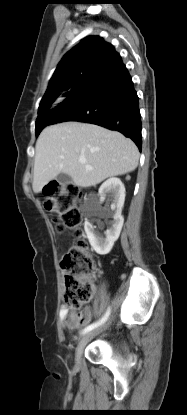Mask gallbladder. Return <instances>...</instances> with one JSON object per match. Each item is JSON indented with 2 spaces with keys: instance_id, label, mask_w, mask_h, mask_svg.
Returning <instances> with one entry per match:
<instances>
[{
  "instance_id": "obj_1",
  "label": "gallbladder",
  "mask_w": 187,
  "mask_h": 415,
  "mask_svg": "<svg viewBox=\"0 0 187 415\" xmlns=\"http://www.w3.org/2000/svg\"><path fill=\"white\" fill-rule=\"evenodd\" d=\"M56 180L61 184V185H68V184H73L72 178L65 173H60Z\"/></svg>"
}]
</instances>
